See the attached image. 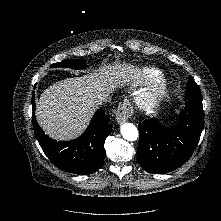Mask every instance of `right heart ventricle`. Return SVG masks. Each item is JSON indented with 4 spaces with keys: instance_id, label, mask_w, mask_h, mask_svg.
Returning <instances> with one entry per match:
<instances>
[{
    "instance_id": "obj_1",
    "label": "right heart ventricle",
    "mask_w": 221,
    "mask_h": 221,
    "mask_svg": "<svg viewBox=\"0 0 221 221\" xmlns=\"http://www.w3.org/2000/svg\"><path fill=\"white\" fill-rule=\"evenodd\" d=\"M161 77V72L155 68H145L141 72V80L153 81Z\"/></svg>"
}]
</instances>
